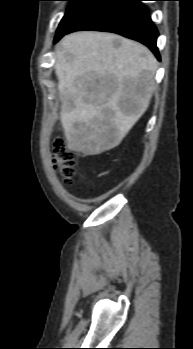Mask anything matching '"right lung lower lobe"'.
I'll return each mask as SVG.
<instances>
[{
    "label": "right lung lower lobe",
    "mask_w": 193,
    "mask_h": 349,
    "mask_svg": "<svg viewBox=\"0 0 193 349\" xmlns=\"http://www.w3.org/2000/svg\"><path fill=\"white\" fill-rule=\"evenodd\" d=\"M141 1L103 0L63 34L56 36L55 42L78 30L113 32L147 45L160 60L156 46L158 31Z\"/></svg>",
    "instance_id": "1"
}]
</instances>
